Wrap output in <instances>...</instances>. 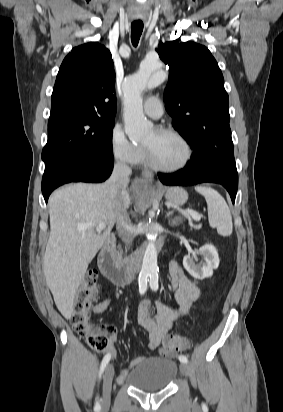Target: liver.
<instances>
[{"label": "liver", "mask_w": 283, "mask_h": 412, "mask_svg": "<svg viewBox=\"0 0 283 412\" xmlns=\"http://www.w3.org/2000/svg\"><path fill=\"white\" fill-rule=\"evenodd\" d=\"M128 181L120 186L72 184L49 198L50 236L43 258L46 283L61 314L71 318L74 297L89 263L109 236L117 221L116 202L120 197L129 208ZM95 226L80 229L81 224ZM99 223L106 227L97 231Z\"/></svg>", "instance_id": "liver-1"}]
</instances>
